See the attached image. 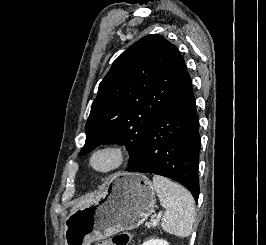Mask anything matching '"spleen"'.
I'll use <instances>...</instances> for the list:
<instances>
[{
    "label": "spleen",
    "mask_w": 266,
    "mask_h": 245,
    "mask_svg": "<svg viewBox=\"0 0 266 245\" xmlns=\"http://www.w3.org/2000/svg\"><path fill=\"white\" fill-rule=\"evenodd\" d=\"M154 191L165 209L161 227L176 237H189L192 233L195 213V201L182 185L172 183L166 177L154 175Z\"/></svg>",
    "instance_id": "3e777b00"
}]
</instances>
